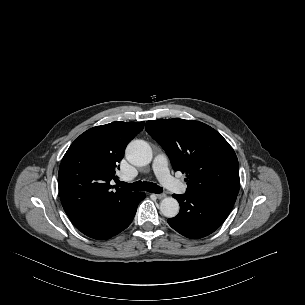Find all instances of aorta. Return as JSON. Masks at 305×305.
I'll return each instance as SVG.
<instances>
[{
  "instance_id": "obj_1",
  "label": "aorta",
  "mask_w": 305,
  "mask_h": 305,
  "mask_svg": "<svg viewBox=\"0 0 305 305\" xmlns=\"http://www.w3.org/2000/svg\"><path fill=\"white\" fill-rule=\"evenodd\" d=\"M127 160L135 166L148 165L153 158L150 145L143 140H133L126 148ZM160 211L167 218H173L179 213V203L172 197H166L160 202Z\"/></svg>"
}]
</instances>
